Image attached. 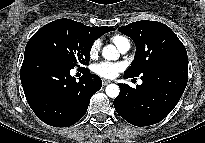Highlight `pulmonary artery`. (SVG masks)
Wrapping results in <instances>:
<instances>
[{
  "label": "pulmonary artery",
  "instance_id": "obj_1",
  "mask_svg": "<svg viewBox=\"0 0 205 143\" xmlns=\"http://www.w3.org/2000/svg\"><path fill=\"white\" fill-rule=\"evenodd\" d=\"M130 47H131V44H130L129 40H126L125 42H123V43L119 46L118 49H119V51H120L122 54H124V53H126V52L129 51ZM141 83H142V80H139V84H141Z\"/></svg>",
  "mask_w": 205,
  "mask_h": 143
}]
</instances>
